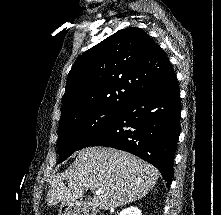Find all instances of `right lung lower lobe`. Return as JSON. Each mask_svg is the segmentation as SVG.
I'll return each mask as SVG.
<instances>
[{"label":"right lung lower lobe","instance_id":"98d812e1","mask_svg":"<svg viewBox=\"0 0 221 215\" xmlns=\"http://www.w3.org/2000/svg\"><path fill=\"white\" fill-rule=\"evenodd\" d=\"M180 90L173 71L161 84L130 101L114 122L84 141L130 152L157 167L171 184L180 134Z\"/></svg>","mask_w":221,"mask_h":215}]
</instances>
